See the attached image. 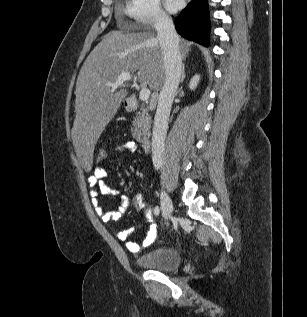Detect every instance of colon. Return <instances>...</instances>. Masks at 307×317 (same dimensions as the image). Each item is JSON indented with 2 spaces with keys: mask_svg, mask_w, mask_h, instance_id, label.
<instances>
[{
  "mask_svg": "<svg viewBox=\"0 0 307 317\" xmlns=\"http://www.w3.org/2000/svg\"><path fill=\"white\" fill-rule=\"evenodd\" d=\"M108 153L107 150L104 148H98L95 151V160L97 163H103L106 159H107ZM133 205L134 207L138 210V211H142L145 208V203L143 201V198L141 196V194H135L133 196L132 199Z\"/></svg>",
  "mask_w": 307,
  "mask_h": 317,
  "instance_id": "obj_1",
  "label": "colon"
}]
</instances>
